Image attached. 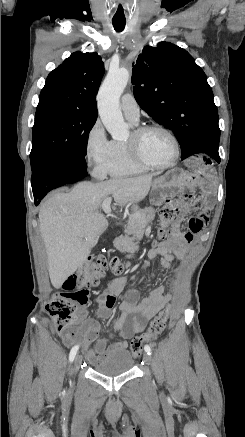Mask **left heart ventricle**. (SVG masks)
Wrapping results in <instances>:
<instances>
[{
  "label": "left heart ventricle",
  "instance_id": "1",
  "mask_svg": "<svg viewBox=\"0 0 245 437\" xmlns=\"http://www.w3.org/2000/svg\"><path fill=\"white\" fill-rule=\"evenodd\" d=\"M130 138L131 134L127 140ZM138 148L145 160L155 164L168 163L174 155L171 140L159 130H150L144 133L138 140Z\"/></svg>",
  "mask_w": 245,
  "mask_h": 437
}]
</instances>
